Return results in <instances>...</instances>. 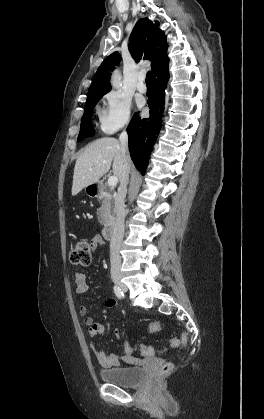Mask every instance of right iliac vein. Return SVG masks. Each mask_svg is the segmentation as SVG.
Segmentation results:
<instances>
[{
    "instance_id": "obj_1",
    "label": "right iliac vein",
    "mask_w": 264,
    "mask_h": 419,
    "mask_svg": "<svg viewBox=\"0 0 264 419\" xmlns=\"http://www.w3.org/2000/svg\"><path fill=\"white\" fill-rule=\"evenodd\" d=\"M113 280L115 281V283L119 284L121 287H123V285L120 283V278L117 275L113 276Z\"/></svg>"
}]
</instances>
